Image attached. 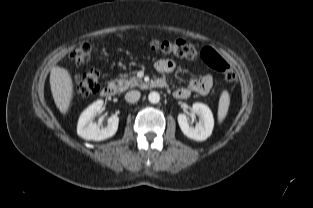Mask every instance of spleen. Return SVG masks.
<instances>
[{
    "label": "spleen",
    "instance_id": "spleen-1",
    "mask_svg": "<svg viewBox=\"0 0 313 208\" xmlns=\"http://www.w3.org/2000/svg\"><path fill=\"white\" fill-rule=\"evenodd\" d=\"M229 104H230L229 94L227 91H223L220 96L219 107H218L219 122H222L225 119L227 112H228Z\"/></svg>",
    "mask_w": 313,
    "mask_h": 208
}]
</instances>
